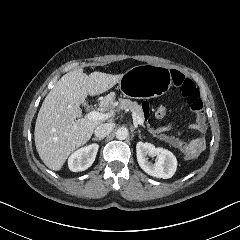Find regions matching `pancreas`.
<instances>
[{
    "mask_svg": "<svg viewBox=\"0 0 240 240\" xmlns=\"http://www.w3.org/2000/svg\"><path fill=\"white\" fill-rule=\"evenodd\" d=\"M107 98L111 99V102L113 103V97L111 95L107 96ZM119 108L120 109H129L136 113L137 116L142 117L143 111L140 105H138L137 102L131 101L129 99H121L119 102Z\"/></svg>",
    "mask_w": 240,
    "mask_h": 240,
    "instance_id": "pancreas-1",
    "label": "pancreas"
}]
</instances>
